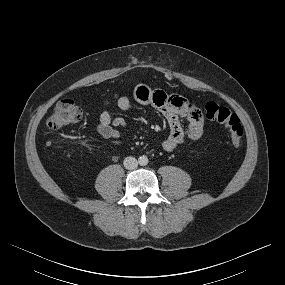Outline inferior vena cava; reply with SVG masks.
Masks as SVG:
<instances>
[{
	"label": "inferior vena cava",
	"instance_id": "obj_1",
	"mask_svg": "<svg viewBox=\"0 0 285 285\" xmlns=\"http://www.w3.org/2000/svg\"><path fill=\"white\" fill-rule=\"evenodd\" d=\"M123 164H124V167L126 169H128V170H134V169H136L138 167L137 159L134 158V157H131V156L130 157H126L124 159Z\"/></svg>",
	"mask_w": 285,
	"mask_h": 285
}]
</instances>
